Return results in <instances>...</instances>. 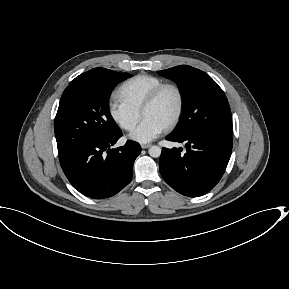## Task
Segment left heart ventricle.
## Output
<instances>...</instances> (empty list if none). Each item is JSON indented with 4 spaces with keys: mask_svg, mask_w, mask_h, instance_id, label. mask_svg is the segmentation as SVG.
Here are the masks:
<instances>
[{
    "mask_svg": "<svg viewBox=\"0 0 289 289\" xmlns=\"http://www.w3.org/2000/svg\"><path fill=\"white\" fill-rule=\"evenodd\" d=\"M177 103L178 99L175 91L166 89L158 100L145 110L143 117L153 118L166 126L176 112Z\"/></svg>",
    "mask_w": 289,
    "mask_h": 289,
    "instance_id": "1",
    "label": "left heart ventricle"
}]
</instances>
